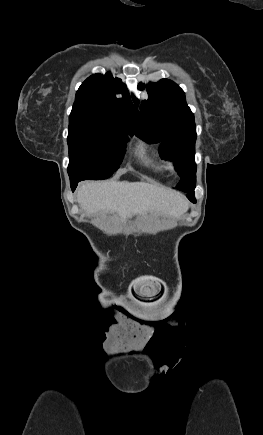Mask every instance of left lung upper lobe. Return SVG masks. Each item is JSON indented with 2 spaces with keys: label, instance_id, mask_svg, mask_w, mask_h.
Wrapping results in <instances>:
<instances>
[{
  "label": "left lung upper lobe",
  "instance_id": "5c2ea615",
  "mask_svg": "<svg viewBox=\"0 0 263 435\" xmlns=\"http://www.w3.org/2000/svg\"><path fill=\"white\" fill-rule=\"evenodd\" d=\"M139 89L144 88L140 83ZM148 100L142 101L136 135L149 143L161 142V155H170L181 177L176 188L186 193L196 186L194 162L196 127L183 90L168 79L147 86ZM136 105L138 100L133 98Z\"/></svg>",
  "mask_w": 263,
  "mask_h": 435
}]
</instances>
